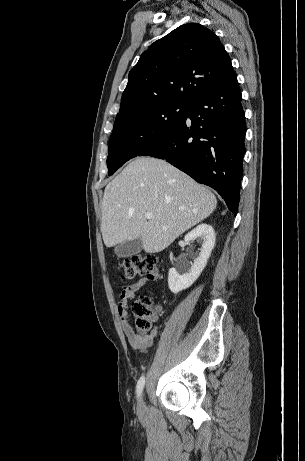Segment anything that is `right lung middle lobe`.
<instances>
[{
    "label": "right lung middle lobe",
    "instance_id": "obj_1",
    "mask_svg": "<svg viewBox=\"0 0 305 461\" xmlns=\"http://www.w3.org/2000/svg\"><path fill=\"white\" fill-rule=\"evenodd\" d=\"M188 108L187 103H165L116 121L109 140V175L176 130L183 122Z\"/></svg>",
    "mask_w": 305,
    "mask_h": 461
}]
</instances>
